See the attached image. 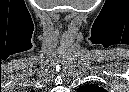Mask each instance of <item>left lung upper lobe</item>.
Wrapping results in <instances>:
<instances>
[{
  "mask_svg": "<svg viewBox=\"0 0 129 92\" xmlns=\"http://www.w3.org/2000/svg\"><path fill=\"white\" fill-rule=\"evenodd\" d=\"M78 91L80 92H106L105 89L95 86V85L83 86Z\"/></svg>",
  "mask_w": 129,
  "mask_h": 92,
  "instance_id": "obj_1",
  "label": "left lung upper lobe"
}]
</instances>
